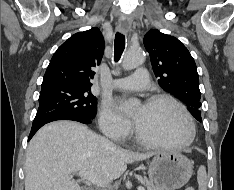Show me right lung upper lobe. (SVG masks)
Returning a JSON list of instances; mask_svg holds the SVG:
<instances>
[{"instance_id": "right-lung-upper-lobe-1", "label": "right lung upper lobe", "mask_w": 234, "mask_h": 190, "mask_svg": "<svg viewBox=\"0 0 234 190\" xmlns=\"http://www.w3.org/2000/svg\"><path fill=\"white\" fill-rule=\"evenodd\" d=\"M104 46L102 33L96 27L72 35L54 53L42 85L91 88L90 79L101 62Z\"/></svg>"}]
</instances>
